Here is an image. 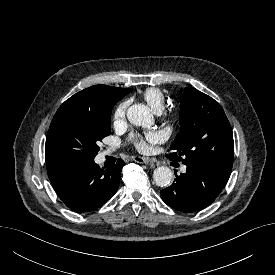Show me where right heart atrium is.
Instances as JSON below:
<instances>
[{"instance_id": "right-heart-atrium-1", "label": "right heart atrium", "mask_w": 275, "mask_h": 275, "mask_svg": "<svg viewBox=\"0 0 275 275\" xmlns=\"http://www.w3.org/2000/svg\"><path fill=\"white\" fill-rule=\"evenodd\" d=\"M127 107H128V102L124 101L120 103L116 108L114 112V118H113V122L115 126L120 125L124 122Z\"/></svg>"}]
</instances>
